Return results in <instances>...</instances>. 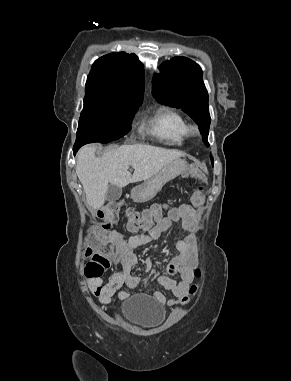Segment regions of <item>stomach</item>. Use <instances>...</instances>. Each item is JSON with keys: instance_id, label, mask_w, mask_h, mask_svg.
<instances>
[{"instance_id": "obj_1", "label": "stomach", "mask_w": 291, "mask_h": 381, "mask_svg": "<svg viewBox=\"0 0 291 381\" xmlns=\"http://www.w3.org/2000/svg\"><path fill=\"white\" fill-rule=\"evenodd\" d=\"M188 167V163L182 159H176L166 165L153 177L145 180L142 184L134 187L131 197L134 202H147L154 198L161 191L162 187L173 178L182 174Z\"/></svg>"}]
</instances>
